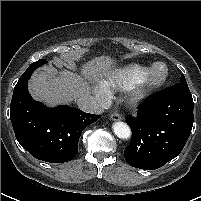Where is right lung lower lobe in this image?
<instances>
[{
	"label": "right lung lower lobe",
	"instance_id": "1",
	"mask_svg": "<svg viewBox=\"0 0 201 201\" xmlns=\"http://www.w3.org/2000/svg\"><path fill=\"white\" fill-rule=\"evenodd\" d=\"M36 68L29 66L14 87L10 119L16 139L38 160L50 163L73 160L83 129L100 116L69 106L47 108L35 101L27 83Z\"/></svg>",
	"mask_w": 201,
	"mask_h": 201
}]
</instances>
